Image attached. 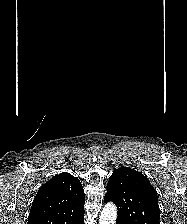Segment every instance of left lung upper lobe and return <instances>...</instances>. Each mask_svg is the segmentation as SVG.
I'll return each instance as SVG.
<instances>
[{
  "instance_id": "5c2ea615",
  "label": "left lung upper lobe",
  "mask_w": 187,
  "mask_h": 224,
  "mask_svg": "<svg viewBox=\"0 0 187 224\" xmlns=\"http://www.w3.org/2000/svg\"><path fill=\"white\" fill-rule=\"evenodd\" d=\"M117 206L122 224H160L157 192L140 172L127 167L116 169L107 183L104 202Z\"/></svg>"
}]
</instances>
